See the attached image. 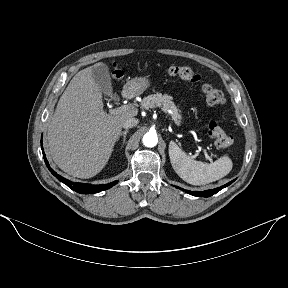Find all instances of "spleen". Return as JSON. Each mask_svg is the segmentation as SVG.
I'll return each mask as SVG.
<instances>
[{
    "label": "spleen",
    "mask_w": 288,
    "mask_h": 288,
    "mask_svg": "<svg viewBox=\"0 0 288 288\" xmlns=\"http://www.w3.org/2000/svg\"><path fill=\"white\" fill-rule=\"evenodd\" d=\"M169 157L179 177L192 185H204L219 180L225 177L233 166L228 156L210 164L193 160L173 141L169 144Z\"/></svg>",
    "instance_id": "spleen-1"
}]
</instances>
